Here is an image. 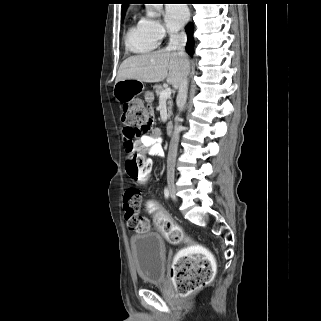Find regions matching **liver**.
Masks as SVG:
<instances>
[{
	"mask_svg": "<svg viewBox=\"0 0 321 321\" xmlns=\"http://www.w3.org/2000/svg\"><path fill=\"white\" fill-rule=\"evenodd\" d=\"M185 69L189 70L187 56L183 58L177 51L165 48L124 60L118 70L116 82L134 79L157 83L166 79L167 83L178 88Z\"/></svg>",
	"mask_w": 321,
	"mask_h": 321,
	"instance_id": "obj_1",
	"label": "liver"
}]
</instances>
